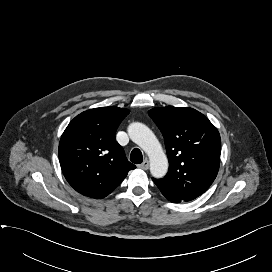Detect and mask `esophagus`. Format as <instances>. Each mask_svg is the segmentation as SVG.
<instances>
[{
	"label": "esophagus",
	"instance_id": "1",
	"mask_svg": "<svg viewBox=\"0 0 272 272\" xmlns=\"http://www.w3.org/2000/svg\"><path fill=\"white\" fill-rule=\"evenodd\" d=\"M140 169L147 170L149 168V161L145 159L140 165H138Z\"/></svg>",
	"mask_w": 272,
	"mask_h": 272
}]
</instances>
